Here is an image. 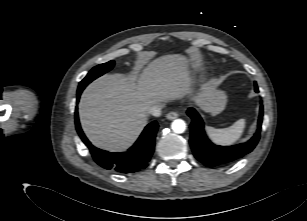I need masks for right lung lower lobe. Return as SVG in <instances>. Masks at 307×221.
<instances>
[{"label": "right lung lower lobe", "mask_w": 307, "mask_h": 221, "mask_svg": "<svg viewBox=\"0 0 307 221\" xmlns=\"http://www.w3.org/2000/svg\"><path fill=\"white\" fill-rule=\"evenodd\" d=\"M83 89L82 87H78L77 102ZM75 124L80 138L89 148L94 161L105 169L118 173H134L147 166L154 152L155 137L158 129V123L156 121L148 124L136 143L128 151L123 153H112L93 146L80 127L77 108L75 110Z\"/></svg>", "instance_id": "right-lung-lower-lobe-1"}]
</instances>
